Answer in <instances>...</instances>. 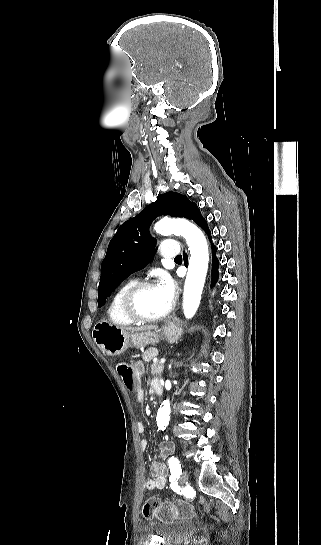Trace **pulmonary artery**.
<instances>
[{
	"label": "pulmonary artery",
	"instance_id": "pulmonary-artery-1",
	"mask_svg": "<svg viewBox=\"0 0 321 545\" xmlns=\"http://www.w3.org/2000/svg\"><path fill=\"white\" fill-rule=\"evenodd\" d=\"M162 250L161 258L163 261H172L180 253V244L178 241H163L160 245Z\"/></svg>",
	"mask_w": 321,
	"mask_h": 545
}]
</instances>
